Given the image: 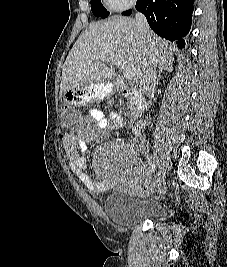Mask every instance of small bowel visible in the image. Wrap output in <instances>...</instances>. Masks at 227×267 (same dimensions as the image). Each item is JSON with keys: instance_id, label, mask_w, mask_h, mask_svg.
Segmentation results:
<instances>
[{"instance_id": "small-bowel-1", "label": "small bowel", "mask_w": 227, "mask_h": 267, "mask_svg": "<svg viewBox=\"0 0 227 267\" xmlns=\"http://www.w3.org/2000/svg\"><path fill=\"white\" fill-rule=\"evenodd\" d=\"M88 115L94 126L91 122L78 126L72 133L63 137V144L72 172L90 193L98 194L105 191L106 185L89 173L82 153L87 149L90 141H102L110 132L119 130L123 126V119L116 112H111L109 117H106L104 112L97 109H89ZM138 174L141 180L136 187V192L140 194L149 192L150 184L146 172L138 171Z\"/></svg>"}]
</instances>
